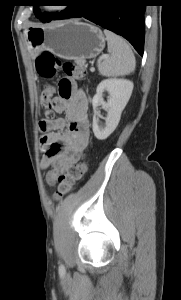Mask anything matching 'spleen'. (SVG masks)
<instances>
[{
  "mask_svg": "<svg viewBox=\"0 0 181 300\" xmlns=\"http://www.w3.org/2000/svg\"><path fill=\"white\" fill-rule=\"evenodd\" d=\"M104 34L110 55L99 64L100 74L105 77H116L132 73L135 70L136 61L129 44L109 30L105 29Z\"/></svg>",
  "mask_w": 181,
  "mask_h": 300,
  "instance_id": "1",
  "label": "spleen"
}]
</instances>
